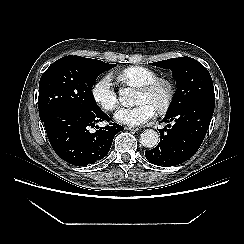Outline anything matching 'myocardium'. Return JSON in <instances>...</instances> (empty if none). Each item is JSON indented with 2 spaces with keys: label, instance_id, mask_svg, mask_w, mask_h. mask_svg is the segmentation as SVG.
Returning a JSON list of instances; mask_svg holds the SVG:
<instances>
[{
  "label": "myocardium",
  "instance_id": "1",
  "mask_svg": "<svg viewBox=\"0 0 244 244\" xmlns=\"http://www.w3.org/2000/svg\"><path fill=\"white\" fill-rule=\"evenodd\" d=\"M163 89L165 92V97L163 101L156 107V111L159 114L166 113L174 100L175 89L173 83L167 78H157L152 82L139 87V90L145 94L151 95L157 92L158 90Z\"/></svg>",
  "mask_w": 244,
  "mask_h": 244
}]
</instances>
